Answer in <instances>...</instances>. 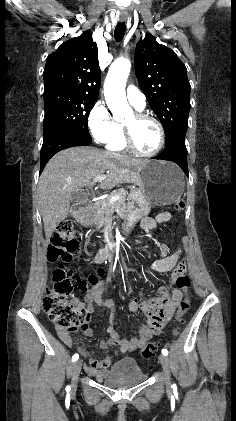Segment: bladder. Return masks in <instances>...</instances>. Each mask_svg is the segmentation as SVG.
Wrapping results in <instances>:
<instances>
[{
  "mask_svg": "<svg viewBox=\"0 0 236 421\" xmlns=\"http://www.w3.org/2000/svg\"><path fill=\"white\" fill-rule=\"evenodd\" d=\"M146 379V373L141 371L135 358L126 357L111 366L102 382L106 386L122 388L140 384Z\"/></svg>",
  "mask_w": 236,
  "mask_h": 421,
  "instance_id": "1",
  "label": "bladder"
}]
</instances>
